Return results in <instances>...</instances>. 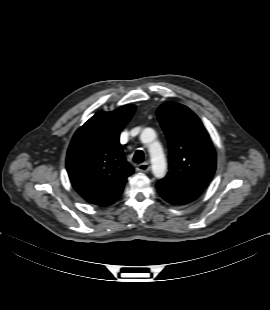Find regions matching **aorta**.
<instances>
[{
  "label": "aorta",
  "mask_w": 270,
  "mask_h": 310,
  "mask_svg": "<svg viewBox=\"0 0 270 310\" xmlns=\"http://www.w3.org/2000/svg\"><path fill=\"white\" fill-rule=\"evenodd\" d=\"M140 139L144 143H149L152 172L156 178H163L166 174L167 164L162 150V146L156 141V133L152 128L142 131Z\"/></svg>",
  "instance_id": "762f6f07"
}]
</instances>
